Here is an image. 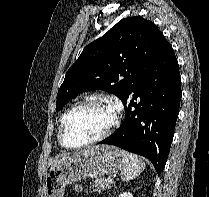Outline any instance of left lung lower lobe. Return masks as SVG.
I'll return each instance as SVG.
<instances>
[{
	"mask_svg": "<svg viewBox=\"0 0 209 197\" xmlns=\"http://www.w3.org/2000/svg\"><path fill=\"white\" fill-rule=\"evenodd\" d=\"M181 95L178 62L166 41L123 101V124L100 144L144 156L160 174L170 151ZM138 97L140 102L135 103Z\"/></svg>",
	"mask_w": 209,
	"mask_h": 197,
	"instance_id": "obj_1",
	"label": "left lung lower lobe"
}]
</instances>
